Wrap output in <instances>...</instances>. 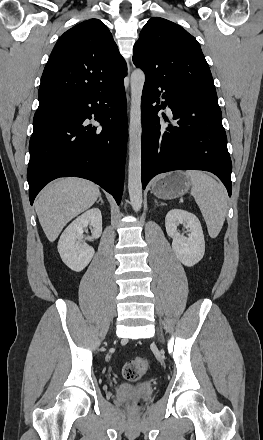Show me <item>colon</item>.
I'll return each mask as SVG.
<instances>
[{"label": "colon", "instance_id": "1", "mask_svg": "<svg viewBox=\"0 0 263 440\" xmlns=\"http://www.w3.org/2000/svg\"><path fill=\"white\" fill-rule=\"evenodd\" d=\"M151 360L146 356H137L127 362L122 368L124 379L130 382L139 380L150 368ZM141 406L140 401L131 399L127 402L128 409L135 411Z\"/></svg>", "mask_w": 263, "mask_h": 440}]
</instances>
